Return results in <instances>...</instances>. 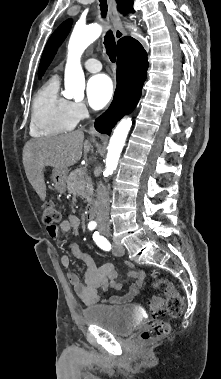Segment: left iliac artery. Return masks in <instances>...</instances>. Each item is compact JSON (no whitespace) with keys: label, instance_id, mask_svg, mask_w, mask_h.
<instances>
[{"label":"left iliac artery","instance_id":"1","mask_svg":"<svg viewBox=\"0 0 221 379\" xmlns=\"http://www.w3.org/2000/svg\"><path fill=\"white\" fill-rule=\"evenodd\" d=\"M93 240L101 249L105 251H109L111 249V244L109 241L104 236H101L99 232L94 233Z\"/></svg>","mask_w":221,"mask_h":379}]
</instances>
